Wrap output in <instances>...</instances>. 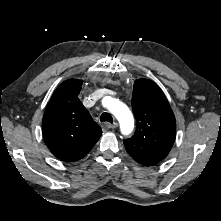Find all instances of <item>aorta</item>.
<instances>
[{
    "mask_svg": "<svg viewBox=\"0 0 221 221\" xmlns=\"http://www.w3.org/2000/svg\"><path fill=\"white\" fill-rule=\"evenodd\" d=\"M107 108L117 118L120 124L121 133L128 135L134 128V118L129 108L122 102L108 98Z\"/></svg>",
    "mask_w": 221,
    "mask_h": 221,
    "instance_id": "obj_1",
    "label": "aorta"
}]
</instances>
